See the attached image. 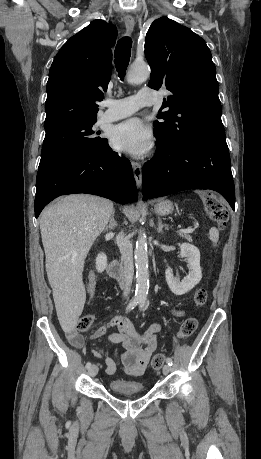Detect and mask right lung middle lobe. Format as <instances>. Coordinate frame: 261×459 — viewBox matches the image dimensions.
<instances>
[{"label":"right lung middle lobe","mask_w":261,"mask_h":459,"mask_svg":"<svg viewBox=\"0 0 261 459\" xmlns=\"http://www.w3.org/2000/svg\"><path fill=\"white\" fill-rule=\"evenodd\" d=\"M95 122L96 119L67 121L45 128L38 174L67 159L99 153L107 139L93 129Z\"/></svg>","instance_id":"1"}]
</instances>
